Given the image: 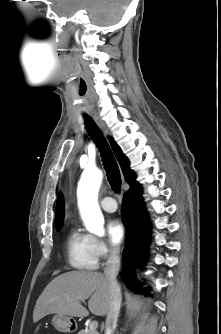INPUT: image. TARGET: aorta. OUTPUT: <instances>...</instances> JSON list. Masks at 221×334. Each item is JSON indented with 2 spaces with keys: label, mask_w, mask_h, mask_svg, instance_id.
<instances>
[{
  "label": "aorta",
  "mask_w": 221,
  "mask_h": 334,
  "mask_svg": "<svg viewBox=\"0 0 221 334\" xmlns=\"http://www.w3.org/2000/svg\"><path fill=\"white\" fill-rule=\"evenodd\" d=\"M103 179L99 169H86L77 187L78 207L88 232L104 236V217L98 204V192Z\"/></svg>",
  "instance_id": "aorta-1"
}]
</instances>
